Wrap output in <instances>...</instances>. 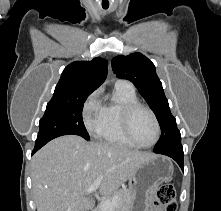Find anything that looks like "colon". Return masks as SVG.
I'll use <instances>...</instances> for the list:
<instances>
[{"label":"colon","instance_id":"colon-1","mask_svg":"<svg viewBox=\"0 0 221 211\" xmlns=\"http://www.w3.org/2000/svg\"><path fill=\"white\" fill-rule=\"evenodd\" d=\"M156 211H177L176 193L170 183L163 184L157 193Z\"/></svg>","mask_w":221,"mask_h":211}]
</instances>
